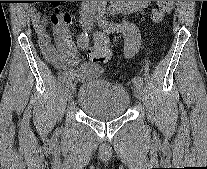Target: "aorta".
Segmentation results:
<instances>
[{"mask_svg":"<svg viewBox=\"0 0 207 169\" xmlns=\"http://www.w3.org/2000/svg\"><path fill=\"white\" fill-rule=\"evenodd\" d=\"M96 4H105L107 1H94ZM116 11L122 12L128 10L134 1H112Z\"/></svg>","mask_w":207,"mask_h":169,"instance_id":"aorta-1","label":"aorta"}]
</instances>
